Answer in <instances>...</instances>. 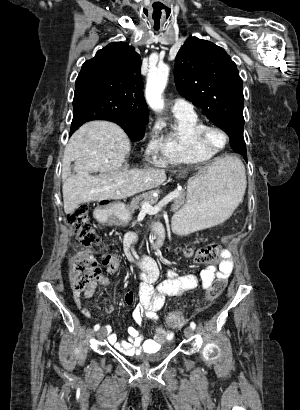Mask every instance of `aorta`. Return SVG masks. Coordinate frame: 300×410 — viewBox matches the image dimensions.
<instances>
[{"instance_id":"aorta-1","label":"aorta","mask_w":300,"mask_h":410,"mask_svg":"<svg viewBox=\"0 0 300 410\" xmlns=\"http://www.w3.org/2000/svg\"><path fill=\"white\" fill-rule=\"evenodd\" d=\"M169 71V66L162 64L148 73L145 97L149 106L155 111L164 108L162 93L167 85Z\"/></svg>"}]
</instances>
